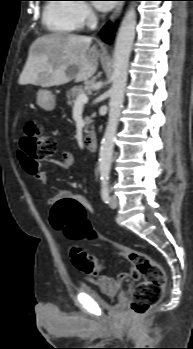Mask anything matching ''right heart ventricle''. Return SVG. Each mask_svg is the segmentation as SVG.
I'll use <instances>...</instances> for the list:
<instances>
[{"mask_svg": "<svg viewBox=\"0 0 193 349\" xmlns=\"http://www.w3.org/2000/svg\"><path fill=\"white\" fill-rule=\"evenodd\" d=\"M76 5L71 0H50L43 11V23L48 31L59 35H69L77 31L82 24Z\"/></svg>", "mask_w": 193, "mask_h": 349, "instance_id": "obj_1", "label": "right heart ventricle"}]
</instances>
